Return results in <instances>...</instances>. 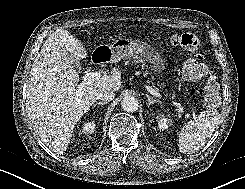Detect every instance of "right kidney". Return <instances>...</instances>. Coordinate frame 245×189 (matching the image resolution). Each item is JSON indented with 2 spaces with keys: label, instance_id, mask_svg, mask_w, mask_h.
<instances>
[{
  "label": "right kidney",
  "instance_id": "ca27d5eb",
  "mask_svg": "<svg viewBox=\"0 0 245 189\" xmlns=\"http://www.w3.org/2000/svg\"><path fill=\"white\" fill-rule=\"evenodd\" d=\"M95 126L96 124L94 121L85 122L80 129V134H92L95 130Z\"/></svg>",
  "mask_w": 245,
  "mask_h": 189
}]
</instances>
